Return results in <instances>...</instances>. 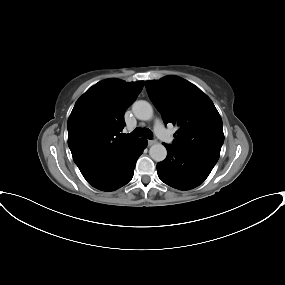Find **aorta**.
Wrapping results in <instances>:
<instances>
[{"label":"aorta","mask_w":285,"mask_h":285,"mask_svg":"<svg viewBox=\"0 0 285 285\" xmlns=\"http://www.w3.org/2000/svg\"><path fill=\"white\" fill-rule=\"evenodd\" d=\"M132 111L135 117L142 121L151 120L153 117V108L151 104L144 100L134 102ZM149 155L154 161L161 162L166 158L167 150L164 145L157 143L150 147Z\"/></svg>","instance_id":"1"}]
</instances>
